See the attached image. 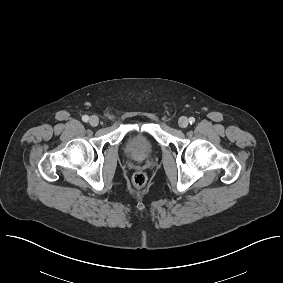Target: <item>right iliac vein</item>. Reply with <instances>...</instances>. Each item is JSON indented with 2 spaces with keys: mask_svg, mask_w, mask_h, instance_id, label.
<instances>
[{
  "mask_svg": "<svg viewBox=\"0 0 283 283\" xmlns=\"http://www.w3.org/2000/svg\"><path fill=\"white\" fill-rule=\"evenodd\" d=\"M91 126H97L99 124V118L97 116H91L89 120Z\"/></svg>",
  "mask_w": 283,
  "mask_h": 283,
  "instance_id": "right-iliac-vein-1",
  "label": "right iliac vein"
}]
</instances>
